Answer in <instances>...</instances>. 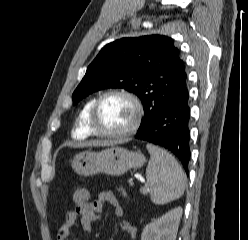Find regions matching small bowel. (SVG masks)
<instances>
[{
    "label": "small bowel",
    "mask_w": 248,
    "mask_h": 240,
    "mask_svg": "<svg viewBox=\"0 0 248 240\" xmlns=\"http://www.w3.org/2000/svg\"><path fill=\"white\" fill-rule=\"evenodd\" d=\"M104 203H108L114 208L117 217L122 218L124 216V210L119 204L115 194L112 191H102L97 195L96 200L76 205L74 209L66 213L65 220L57 231V240H66L71 228L77 220H80L82 230L74 240H84L91 232L93 224L98 220ZM120 227L130 238H136L137 229L130 221L122 220Z\"/></svg>",
    "instance_id": "1"
}]
</instances>
